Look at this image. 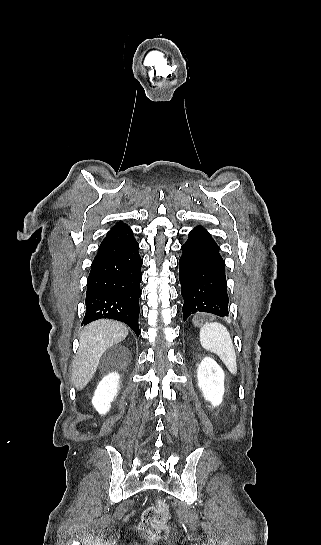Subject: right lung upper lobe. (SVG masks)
I'll return each instance as SVG.
<instances>
[{
  "label": "right lung upper lobe",
  "instance_id": "cb5924a9",
  "mask_svg": "<svg viewBox=\"0 0 321 545\" xmlns=\"http://www.w3.org/2000/svg\"><path fill=\"white\" fill-rule=\"evenodd\" d=\"M123 226H126V224H122V223L119 222L112 229L120 228V227H123Z\"/></svg>",
  "mask_w": 321,
  "mask_h": 545
}]
</instances>
